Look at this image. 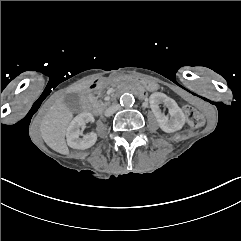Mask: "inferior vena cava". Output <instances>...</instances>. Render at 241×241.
Returning a JSON list of instances; mask_svg holds the SVG:
<instances>
[{
  "label": "inferior vena cava",
  "mask_w": 241,
  "mask_h": 241,
  "mask_svg": "<svg viewBox=\"0 0 241 241\" xmlns=\"http://www.w3.org/2000/svg\"><path fill=\"white\" fill-rule=\"evenodd\" d=\"M120 108L121 106L119 104H113L105 110L104 115L106 117H109L113 115L115 112H117L118 110H120Z\"/></svg>",
  "instance_id": "inferior-vena-cava-1"
}]
</instances>
